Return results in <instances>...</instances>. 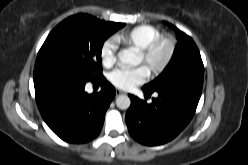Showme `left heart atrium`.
<instances>
[{
    "label": "left heart atrium",
    "mask_w": 248,
    "mask_h": 165,
    "mask_svg": "<svg viewBox=\"0 0 248 165\" xmlns=\"http://www.w3.org/2000/svg\"><path fill=\"white\" fill-rule=\"evenodd\" d=\"M149 74V69L145 65L134 68H118L110 73L109 80L117 88L131 90L142 84Z\"/></svg>",
    "instance_id": "left-heart-atrium-1"
}]
</instances>
